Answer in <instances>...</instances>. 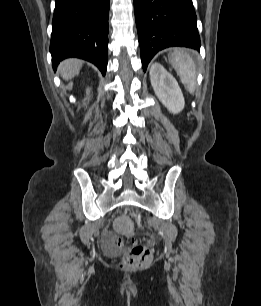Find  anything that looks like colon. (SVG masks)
I'll use <instances>...</instances> for the list:
<instances>
[{"label": "colon", "instance_id": "5ec220e1", "mask_svg": "<svg viewBox=\"0 0 261 306\" xmlns=\"http://www.w3.org/2000/svg\"><path fill=\"white\" fill-rule=\"evenodd\" d=\"M115 227L119 236L112 239V246L115 248L130 247L123 257L122 267L142 268L148 265L152 257L151 251L139 245L137 240L131 237L134 232L132 220L127 216H121L116 220Z\"/></svg>", "mask_w": 261, "mask_h": 306}]
</instances>
